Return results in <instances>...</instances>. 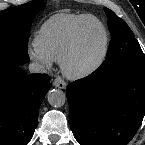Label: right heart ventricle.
Listing matches in <instances>:
<instances>
[{
  "mask_svg": "<svg viewBox=\"0 0 145 145\" xmlns=\"http://www.w3.org/2000/svg\"><path fill=\"white\" fill-rule=\"evenodd\" d=\"M91 14L58 13L50 17L37 31L34 38L36 49L60 62L70 49L77 27Z\"/></svg>",
  "mask_w": 145,
  "mask_h": 145,
  "instance_id": "1",
  "label": "right heart ventricle"
}]
</instances>
